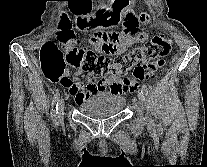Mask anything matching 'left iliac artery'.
<instances>
[{"mask_svg":"<svg viewBox=\"0 0 207 167\" xmlns=\"http://www.w3.org/2000/svg\"><path fill=\"white\" fill-rule=\"evenodd\" d=\"M141 93L144 94V95H148V89H147L146 86H142ZM158 127L162 128V126L160 124L158 125Z\"/></svg>","mask_w":207,"mask_h":167,"instance_id":"44dca946","label":"left iliac artery"}]
</instances>
